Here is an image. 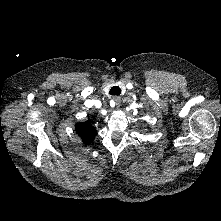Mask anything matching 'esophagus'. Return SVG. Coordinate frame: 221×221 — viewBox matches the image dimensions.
Here are the masks:
<instances>
[{
	"mask_svg": "<svg viewBox=\"0 0 221 221\" xmlns=\"http://www.w3.org/2000/svg\"><path fill=\"white\" fill-rule=\"evenodd\" d=\"M113 100H114V102H115L116 105H120V103H121L120 97L114 96V97H113Z\"/></svg>",
	"mask_w": 221,
	"mask_h": 221,
	"instance_id": "obj_1",
	"label": "esophagus"
}]
</instances>
